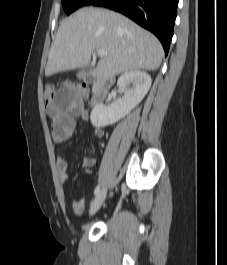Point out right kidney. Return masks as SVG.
Returning <instances> with one entry per match:
<instances>
[{
    "instance_id": "obj_1",
    "label": "right kidney",
    "mask_w": 227,
    "mask_h": 265,
    "mask_svg": "<svg viewBox=\"0 0 227 265\" xmlns=\"http://www.w3.org/2000/svg\"><path fill=\"white\" fill-rule=\"evenodd\" d=\"M151 77L144 71L134 70L121 75L117 85L125 89L124 96L108 106L96 105L90 115L91 123L96 128L112 125L125 117L145 97L151 87ZM130 85H133L130 88Z\"/></svg>"
}]
</instances>
